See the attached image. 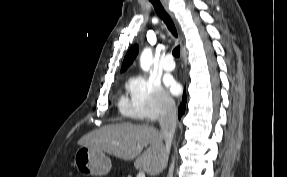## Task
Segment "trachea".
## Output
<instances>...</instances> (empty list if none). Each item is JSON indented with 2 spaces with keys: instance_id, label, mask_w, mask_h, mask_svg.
Segmentation results:
<instances>
[{
  "instance_id": "trachea-1",
  "label": "trachea",
  "mask_w": 287,
  "mask_h": 177,
  "mask_svg": "<svg viewBox=\"0 0 287 177\" xmlns=\"http://www.w3.org/2000/svg\"><path fill=\"white\" fill-rule=\"evenodd\" d=\"M149 1L153 4L155 11L159 15V17L164 21V23L167 25L170 32L175 37H177L175 25H174L171 17L168 15V13L165 11L163 6L161 5L160 1L159 0H149ZM172 54L177 58L180 57V46L175 47Z\"/></svg>"
}]
</instances>
